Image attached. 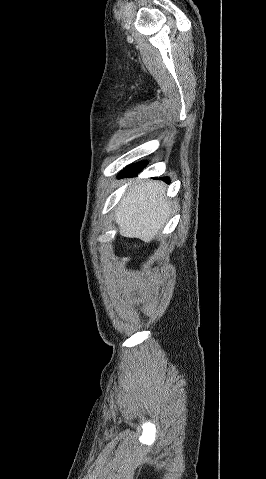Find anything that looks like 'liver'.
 Returning a JSON list of instances; mask_svg holds the SVG:
<instances>
[{"label": "liver", "instance_id": "liver-1", "mask_svg": "<svg viewBox=\"0 0 266 479\" xmlns=\"http://www.w3.org/2000/svg\"><path fill=\"white\" fill-rule=\"evenodd\" d=\"M171 212L165 198V187L157 181H146L130 187L115 209L114 220L119 233L144 241L155 239Z\"/></svg>", "mask_w": 266, "mask_h": 479}]
</instances>
